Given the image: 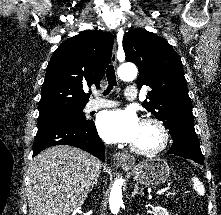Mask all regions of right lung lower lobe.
Returning <instances> with one entry per match:
<instances>
[{
  "mask_svg": "<svg viewBox=\"0 0 221 215\" xmlns=\"http://www.w3.org/2000/svg\"><path fill=\"white\" fill-rule=\"evenodd\" d=\"M62 144L81 148L104 161L105 146L91 120L82 123H57L38 128L33 156L47 147Z\"/></svg>",
  "mask_w": 221,
  "mask_h": 215,
  "instance_id": "1",
  "label": "right lung lower lobe"
}]
</instances>
